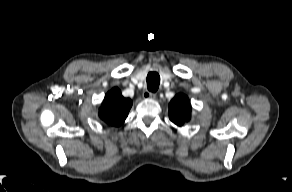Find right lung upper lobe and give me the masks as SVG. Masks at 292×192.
<instances>
[{
    "instance_id": "cb5924a9",
    "label": "right lung upper lobe",
    "mask_w": 292,
    "mask_h": 192,
    "mask_svg": "<svg viewBox=\"0 0 292 192\" xmlns=\"http://www.w3.org/2000/svg\"><path fill=\"white\" fill-rule=\"evenodd\" d=\"M131 106L132 101L124 98L118 88H113L105 95L99 117L109 125L120 126L127 118Z\"/></svg>"
}]
</instances>
